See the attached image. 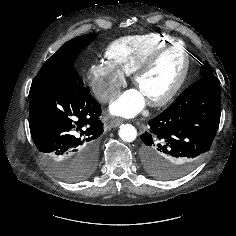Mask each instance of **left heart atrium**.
Here are the masks:
<instances>
[{
	"label": "left heart atrium",
	"mask_w": 236,
	"mask_h": 236,
	"mask_svg": "<svg viewBox=\"0 0 236 236\" xmlns=\"http://www.w3.org/2000/svg\"><path fill=\"white\" fill-rule=\"evenodd\" d=\"M145 99V96L139 89H130L111 103L110 112L123 117L135 116L144 107Z\"/></svg>",
	"instance_id": "1"
}]
</instances>
